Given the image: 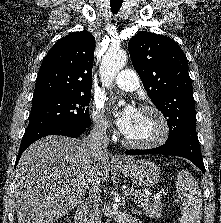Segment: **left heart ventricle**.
<instances>
[{
	"label": "left heart ventricle",
	"mask_w": 221,
	"mask_h": 223,
	"mask_svg": "<svg viewBox=\"0 0 221 223\" xmlns=\"http://www.w3.org/2000/svg\"><path fill=\"white\" fill-rule=\"evenodd\" d=\"M160 129V122L154 114L138 111L130 129L124 134L132 141L146 142L158 136Z\"/></svg>",
	"instance_id": "left-heart-ventricle-1"
}]
</instances>
